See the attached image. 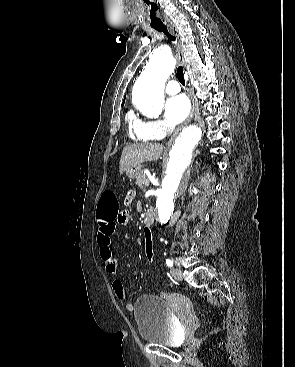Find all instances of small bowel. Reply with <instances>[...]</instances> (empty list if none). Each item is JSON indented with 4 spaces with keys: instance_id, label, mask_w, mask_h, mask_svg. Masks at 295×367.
Masks as SVG:
<instances>
[{
    "instance_id": "c3829d8e",
    "label": "small bowel",
    "mask_w": 295,
    "mask_h": 367,
    "mask_svg": "<svg viewBox=\"0 0 295 367\" xmlns=\"http://www.w3.org/2000/svg\"><path fill=\"white\" fill-rule=\"evenodd\" d=\"M134 193L129 192L126 198H130V202L133 200ZM129 214L128 208H121L118 213V223L120 226L128 225ZM117 223L115 220L104 221L98 219V231H97V243L99 246L100 257L104 262L105 270L110 274H115L117 272V262L113 254L111 237L115 232ZM112 289L115 296L123 301L126 299V291L124 284L120 279H114L112 282ZM126 309L132 311L134 305L132 303L126 304Z\"/></svg>"
}]
</instances>
